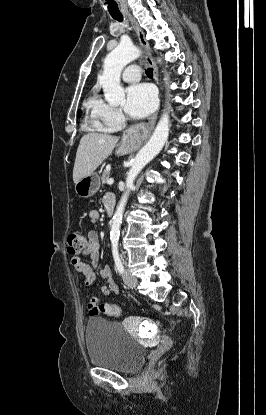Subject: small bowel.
Returning a JSON list of instances; mask_svg holds the SVG:
<instances>
[{"instance_id": "small-bowel-1", "label": "small bowel", "mask_w": 266, "mask_h": 415, "mask_svg": "<svg viewBox=\"0 0 266 415\" xmlns=\"http://www.w3.org/2000/svg\"><path fill=\"white\" fill-rule=\"evenodd\" d=\"M109 202L115 203V197L113 194H106L104 196V204ZM99 220V213L96 210L89 212V222L91 225H95ZM82 256L89 258V263L82 260L81 256H74L71 259V264L77 272L83 276L85 284L92 285L96 280L95 268L99 263L100 256V243L98 235L95 231H91L88 234V243L86 248L81 252ZM100 276L104 280V285L101 287V291L104 295L117 294L119 289L118 285L112 277L110 269L105 266L100 270ZM98 299L91 297L88 309L90 315H97Z\"/></svg>"}]
</instances>
